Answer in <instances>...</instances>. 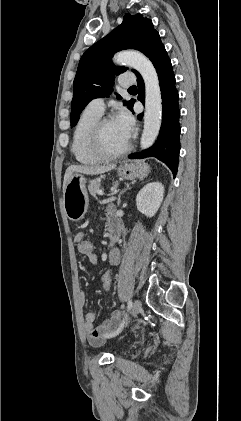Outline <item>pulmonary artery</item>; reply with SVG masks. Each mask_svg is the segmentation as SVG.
I'll use <instances>...</instances> for the list:
<instances>
[{
	"instance_id": "e3ab8cb5",
	"label": "pulmonary artery",
	"mask_w": 241,
	"mask_h": 421,
	"mask_svg": "<svg viewBox=\"0 0 241 421\" xmlns=\"http://www.w3.org/2000/svg\"><path fill=\"white\" fill-rule=\"evenodd\" d=\"M134 83H135V78L132 76H124V77H121L120 79V85L124 88H127L133 85ZM87 107L102 115L105 109L104 99L95 98L89 102Z\"/></svg>"
}]
</instances>
